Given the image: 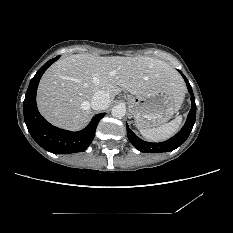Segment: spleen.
Instances as JSON below:
<instances>
[{"label":"spleen","instance_id":"obj_1","mask_svg":"<svg viewBox=\"0 0 233 233\" xmlns=\"http://www.w3.org/2000/svg\"><path fill=\"white\" fill-rule=\"evenodd\" d=\"M182 123V116H177L175 119L166 123L160 127L153 129H140L141 135L153 142L164 141L173 136L178 130Z\"/></svg>","mask_w":233,"mask_h":233}]
</instances>
